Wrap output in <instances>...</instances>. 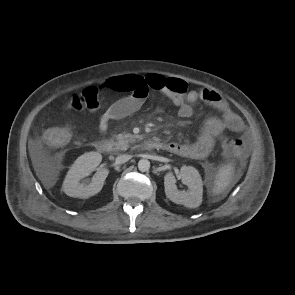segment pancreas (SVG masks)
<instances>
[{
    "mask_svg": "<svg viewBox=\"0 0 295 295\" xmlns=\"http://www.w3.org/2000/svg\"><path fill=\"white\" fill-rule=\"evenodd\" d=\"M116 139V149L126 150L128 148V144L135 141V136L132 134H118L115 136Z\"/></svg>",
    "mask_w": 295,
    "mask_h": 295,
    "instance_id": "pancreas-1",
    "label": "pancreas"
}]
</instances>
